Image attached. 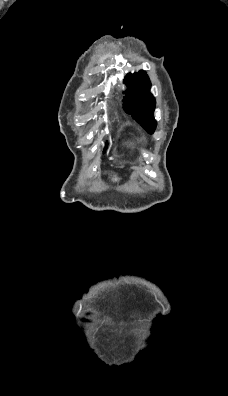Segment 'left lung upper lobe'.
Wrapping results in <instances>:
<instances>
[{"instance_id": "1", "label": "left lung upper lobe", "mask_w": 228, "mask_h": 396, "mask_svg": "<svg viewBox=\"0 0 228 396\" xmlns=\"http://www.w3.org/2000/svg\"><path fill=\"white\" fill-rule=\"evenodd\" d=\"M124 82L128 86L125 91L124 110L132 114L148 133H154L157 126L153 115L156 102L150 93L151 83L147 74L144 71L128 74Z\"/></svg>"}]
</instances>
